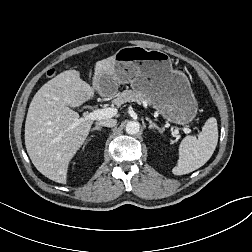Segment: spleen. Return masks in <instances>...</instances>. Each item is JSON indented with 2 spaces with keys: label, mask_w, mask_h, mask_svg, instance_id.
I'll return each instance as SVG.
<instances>
[{
  "label": "spleen",
  "mask_w": 252,
  "mask_h": 252,
  "mask_svg": "<svg viewBox=\"0 0 252 252\" xmlns=\"http://www.w3.org/2000/svg\"><path fill=\"white\" fill-rule=\"evenodd\" d=\"M218 142V126L214 117L209 118L202 132L195 136H186L179 146V159L172 172L175 175L188 174L202 167L212 156Z\"/></svg>",
  "instance_id": "obj_1"
}]
</instances>
